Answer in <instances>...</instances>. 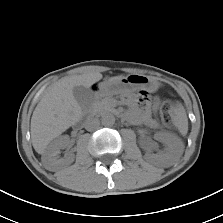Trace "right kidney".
Masks as SVG:
<instances>
[{
    "instance_id": "ca27d5eb",
    "label": "right kidney",
    "mask_w": 223,
    "mask_h": 223,
    "mask_svg": "<svg viewBox=\"0 0 223 223\" xmlns=\"http://www.w3.org/2000/svg\"><path fill=\"white\" fill-rule=\"evenodd\" d=\"M68 143V136H60L48 146L42 156V162L46 168L53 169L58 165H70L73 163L74 157L72 154L65 158H59L60 150L64 149Z\"/></svg>"
}]
</instances>
